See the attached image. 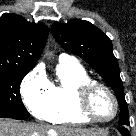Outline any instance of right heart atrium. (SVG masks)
Masks as SVG:
<instances>
[{"label":"right heart atrium","mask_w":136,"mask_h":136,"mask_svg":"<svg viewBox=\"0 0 136 136\" xmlns=\"http://www.w3.org/2000/svg\"><path fill=\"white\" fill-rule=\"evenodd\" d=\"M20 93L26 108L37 118L43 119L52 105L51 83L39 69L32 70L23 79Z\"/></svg>","instance_id":"right-heart-atrium-1"}]
</instances>
